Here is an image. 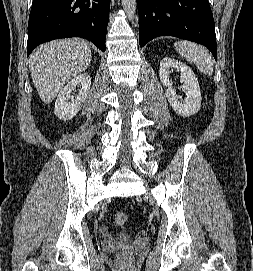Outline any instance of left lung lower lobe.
I'll return each mask as SVG.
<instances>
[{
  "label": "left lung lower lobe",
  "instance_id": "left-lung-lower-lobe-1",
  "mask_svg": "<svg viewBox=\"0 0 253 271\" xmlns=\"http://www.w3.org/2000/svg\"><path fill=\"white\" fill-rule=\"evenodd\" d=\"M139 44L169 35L206 46L217 60L213 14L208 0H137Z\"/></svg>",
  "mask_w": 253,
  "mask_h": 271
}]
</instances>
